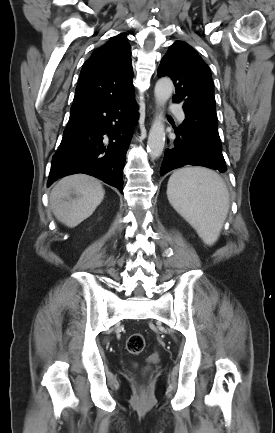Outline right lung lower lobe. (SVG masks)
<instances>
[{"label": "right lung lower lobe", "instance_id": "1", "mask_svg": "<svg viewBox=\"0 0 275 433\" xmlns=\"http://www.w3.org/2000/svg\"><path fill=\"white\" fill-rule=\"evenodd\" d=\"M136 119L134 94L98 101L71 112L52 158L47 185L63 176L84 173L122 193V171Z\"/></svg>", "mask_w": 275, "mask_h": 433}]
</instances>
